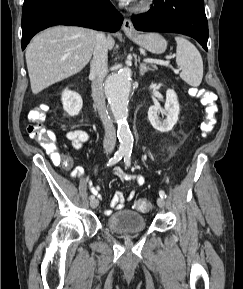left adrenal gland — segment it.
<instances>
[{"label": "left adrenal gland", "mask_w": 243, "mask_h": 289, "mask_svg": "<svg viewBox=\"0 0 243 289\" xmlns=\"http://www.w3.org/2000/svg\"><path fill=\"white\" fill-rule=\"evenodd\" d=\"M139 70L141 76H143L147 71H153V69L145 63H140Z\"/></svg>", "instance_id": "obj_1"}]
</instances>
